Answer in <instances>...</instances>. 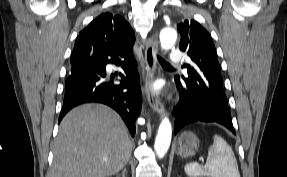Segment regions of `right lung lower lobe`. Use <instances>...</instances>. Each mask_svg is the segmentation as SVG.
<instances>
[{
  "label": "right lung lower lobe",
  "mask_w": 287,
  "mask_h": 177,
  "mask_svg": "<svg viewBox=\"0 0 287 177\" xmlns=\"http://www.w3.org/2000/svg\"><path fill=\"white\" fill-rule=\"evenodd\" d=\"M108 63L121 64L126 76L120 73V84L106 75ZM91 102L112 107L120 114L131 135H135V121L141 112V93L133 48L128 50L118 45L93 50L89 58L71 66L59 122L73 107Z\"/></svg>",
  "instance_id": "98d812e1"
}]
</instances>
